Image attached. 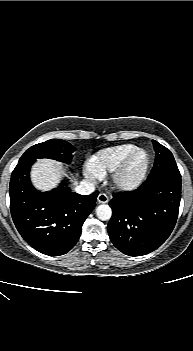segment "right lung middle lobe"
<instances>
[{
    "label": "right lung middle lobe",
    "mask_w": 193,
    "mask_h": 351,
    "mask_svg": "<svg viewBox=\"0 0 193 351\" xmlns=\"http://www.w3.org/2000/svg\"><path fill=\"white\" fill-rule=\"evenodd\" d=\"M75 148L67 141L51 139L30 147L20 159L50 158L69 164Z\"/></svg>",
    "instance_id": "1"
}]
</instances>
